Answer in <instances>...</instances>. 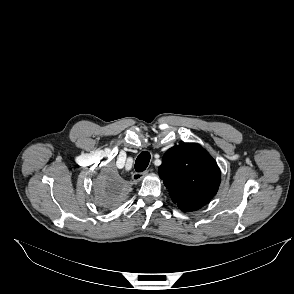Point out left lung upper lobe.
Returning <instances> with one entry per match:
<instances>
[{
	"label": "left lung upper lobe",
	"mask_w": 294,
	"mask_h": 294,
	"mask_svg": "<svg viewBox=\"0 0 294 294\" xmlns=\"http://www.w3.org/2000/svg\"><path fill=\"white\" fill-rule=\"evenodd\" d=\"M174 203L182 211H194L217 193L221 173L215 160L196 143L170 148L158 168Z\"/></svg>",
	"instance_id": "left-lung-upper-lobe-1"
}]
</instances>
